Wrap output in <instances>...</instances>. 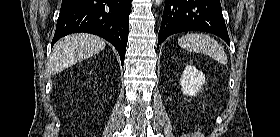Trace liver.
Instances as JSON below:
<instances>
[{"label":"liver","mask_w":280,"mask_h":137,"mask_svg":"<svg viewBox=\"0 0 280 137\" xmlns=\"http://www.w3.org/2000/svg\"><path fill=\"white\" fill-rule=\"evenodd\" d=\"M106 42L92 34H72L60 39L53 48L49 59V71L52 74L81 62L101 52Z\"/></svg>","instance_id":"liver-1"}]
</instances>
